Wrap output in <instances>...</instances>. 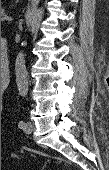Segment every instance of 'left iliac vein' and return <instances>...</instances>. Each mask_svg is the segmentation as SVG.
I'll return each instance as SVG.
<instances>
[{
	"mask_svg": "<svg viewBox=\"0 0 109 170\" xmlns=\"http://www.w3.org/2000/svg\"><path fill=\"white\" fill-rule=\"evenodd\" d=\"M23 131L30 134L33 131V124L30 121H27L23 127Z\"/></svg>",
	"mask_w": 109,
	"mask_h": 170,
	"instance_id": "obj_1",
	"label": "left iliac vein"
}]
</instances>
